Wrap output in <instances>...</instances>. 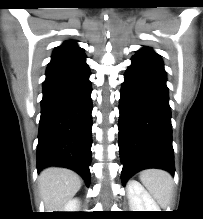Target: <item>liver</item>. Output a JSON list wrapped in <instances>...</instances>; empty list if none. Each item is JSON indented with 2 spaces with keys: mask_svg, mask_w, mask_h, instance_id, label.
<instances>
[{
  "mask_svg": "<svg viewBox=\"0 0 203 219\" xmlns=\"http://www.w3.org/2000/svg\"><path fill=\"white\" fill-rule=\"evenodd\" d=\"M38 181L40 196L47 212H60L82 185V179L78 174L59 167L43 170Z\"/></svg>",
  "mask_w": 203,
  "mask_h": 219,
  "instance_id": "6515ba94",
  "label": "liver"
}]
</instances>
